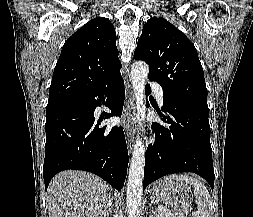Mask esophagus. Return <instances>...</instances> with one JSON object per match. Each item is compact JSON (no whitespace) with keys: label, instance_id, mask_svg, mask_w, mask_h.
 Listing matches in <instances>:
<instances>
[{"label":"esophagus","instance_id":"esophagus-1","mask_svg":"<svg viewBox=\"0 0 253 217\" xmlns=\"http://www.w3.org/2000/svg\"><path fill=\"white\" fill-rule=\"evenodd\" d=\"M134 95L132 92L129 93L128 101L123 110V121L125 124V134L128 144L129 153L133 150V143H134V130L131 126L135 121V103H134Z\"/></svg>","mask_w":253,"mask_h":217}]
</instances>
